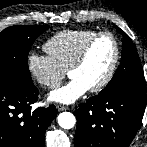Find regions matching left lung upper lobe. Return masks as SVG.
Masks as SVG:
<instances>
[{"mask_svg": "<svg viewBox=\"0 0 147 147\" xmlns=\"http://www.w3.org/2000/svg\"><path fill=\"white\" fill-rule=\"evenodd\" d=\"M116 29L123 35L122 59L114 77L99 94L108 95L122 90L146 92L144 73L136 47L123 30L117 26Z\"/></svg>", "mask_w": 147, "mask_h": 147, "instance_id": "left-lung-upper-lobe-1", "label": "left lung upper lobe"}]
</instances>
